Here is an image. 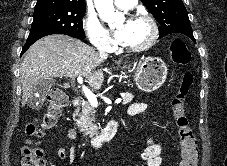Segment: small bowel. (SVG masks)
Masks as SVG:
<instances>
[{"label": "small bowel", "mask_w": 227, "mask_h": 166, "mask_svg": "<svg viewBox=\"0 0 227 166\" xmlns=\"http://www.w3.org/2000/svg\"><path fill=\"white\" fill-rule=\"evenodd\" d=\"M147 106L143 103H135L132 104L128 109L129 115H138L143 113L146 110ZM75 133L73 130H69L67 133L68 139H74ZM161 148L158 144L151 143L146 148L144 153L142 154V161L145 166H160L161 165V157H160ZM77 153V148L75 146L66 149L65 147H60L57 151L58 157L65 161L66 163H71ZM55 166V165H51Z\"/></svg>", "instance_id": "small-bowel-1"}]
</instances>
